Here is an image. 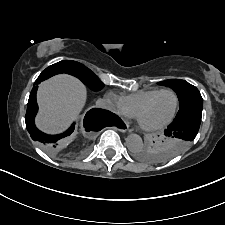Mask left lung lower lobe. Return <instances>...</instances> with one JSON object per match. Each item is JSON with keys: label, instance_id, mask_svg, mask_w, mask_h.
Instances as JSON below:
<instances>
[{"label": "left lung lower lobe", "instance_id": "left-lung-lower-lobe-1", "mask_svg": "<svg viewBox=\"0 0 225 225\" xmlns=\"http://www.w3.org/2000/svg\"><path fill=\"white\" fill-rule=\"evenodd\" d=\"M202 117V110H194L177 116L164 131L167 137H177L186 141H193L198 133ZM184 144H176L173 149L177 154L184 149Z\"/></svg>", "mask_w": 225, "mask_h": 225}]
</instances>
